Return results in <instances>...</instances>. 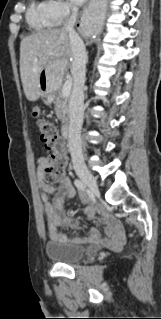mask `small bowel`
<instances>
[{"label": "small bowel", "mask_w": 161, "mask_h": 319, "mask_svg": "<svg viewBox=\"0 0 161 319\" xmlns=\"http://www.w3.org/2000/svg\"><path fill=\"white\" fill-rule=\"evenodd\" d=\"M37 164L39 167V185L43 191L41 203L51 237L60 241H70L74 243H84L88 241L99 242L101 240L100 233L96 228L90 230L87 238H82L76 235L63 236L57 232V228L60 226L73 227L74 225L72 220L64 215V203L66 200L74 198L75 189L67 178H60L58 180L59 188L46 180L43 173V168L46 165L45 157H40ZM52 195L55 196L54 203L49 200V196ZM81 200L84 203H92V207H88L84 210L89 220L105 216V207L102 203L93 202L84 194H81ZM103 220L106 224V231L109 238L113 241H118L122 230L118 220L113 217H104Z\"/></svg>", "instance_id": "obj_1"}]
</instances>
